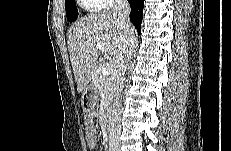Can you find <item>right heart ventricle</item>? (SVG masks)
<instances>
[{
    "mask_svg": "<svg viewBox=\"0 0 231 151\" xmlns=\"http://www.w3.org/2000/svg\"><path fill=\"white\" fill-rule=\"evenodd\" d=\"M88 7L91 8V9H93V10H97V9H95L94 6L91 5V4H89Z\"/></svg>",
    "mask_w": 231,
    "mask_h": 151,
    "instance_id": "1",
    "label": "right heart ventricle"
}]
</instances>
